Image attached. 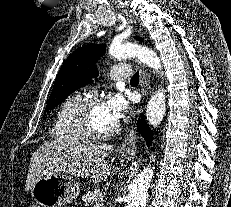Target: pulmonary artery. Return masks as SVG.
<instances>
[{
  "mask_svg": "<svg viewBox=\"0 0 231 207\" xmlns=\"http://www.w3.org/2000/svg\"><path fill=\"white\" fill-rule=\"evenodd\" d=\"M108 75L114 81L128 79L131 77V68L126 64H116L111 67Z\"/></svg>",
  "mask_w": 231,
  "mask_h": 207,
  "instance_id": "pulmonary-artery-1",
  "label": "pulmonary artery"
}]
</instances>
